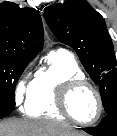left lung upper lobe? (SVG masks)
<instances>
[{
    "label": "left lung upper lobe",
    "instance_id": "left-lung-upper-lobe-1",
    "mask_svg": "<svg viewBox=\"0 0 117 136\" xmlns=\"http://www.w3.org/2000/svg\"><path fill=\"white\" fill-rule=\"evenodd\" d=\"M44 17L57 39L71 46L94 83L105 112L117 109L116 57L104 18L86 0H66L47 7Z\"/></svg>",
    "mask_w": 117,
    "mask_h": 136
}]
</instances>
